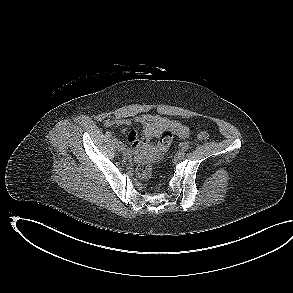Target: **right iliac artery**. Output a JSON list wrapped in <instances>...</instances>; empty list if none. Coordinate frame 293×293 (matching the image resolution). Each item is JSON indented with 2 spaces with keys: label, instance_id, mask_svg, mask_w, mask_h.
I'll return each instance as SVG.
<instances>
[{
  "label": "right iliac artery",
  "instance_id": "right-iliac-artery-1",
  "mask_svg": "<svg viewBox=\"0 0 293 293\" xmlns=\"http://www.w3.org/2000/svg\"><path fill=\"white\" fill-rule=\"evenodd\" d=\"M107 135H108L109 137H112L111 134H110V132H107ZM112 141L115 143V142L117 141V139L114 138V137H112Z\"/></svg>",
  "mask_w": 293,
  "mask_h": 293
}]
</instances>
